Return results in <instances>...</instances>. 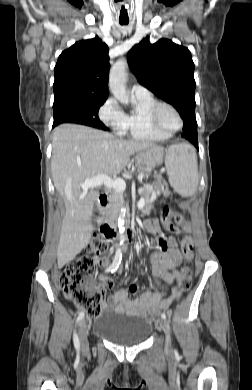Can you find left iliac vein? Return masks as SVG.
Instances as JSON below:
<instances>
[{
    "label": "left iliac vein",
    "instance_id": "4c4485c4",
    "mask_svg": "<svg viewBox=\"0 0 252 390\" xmlns=\"http://www.w3.org/2000/svg\"><path fill=\"white\" fill-rule=\"evenodd\" d=\"M159 326L164 331L165 336H166L165 347H166V349H170V347H171V337H170V325H169V322L166 319H160L159 320Z\"/></svg>",
    "mask_w": 252,
    "mask_h": 390
}]
</instances>
